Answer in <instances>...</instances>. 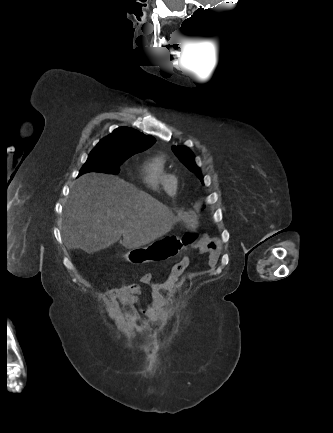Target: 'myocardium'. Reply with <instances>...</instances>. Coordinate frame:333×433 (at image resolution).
<instances>
[{
  "instance_id": "obj_1",
  "label": "myocardium",
  "mask_w": 333,
  "mask_h": 433,
  "mask_svg": "<svg viewBox=\"0 0 333 433\" xmlns=\"http://www.w3.org/2000/svg\"><path fill=\"white\" fill-rule=\"evenodd\" d=\"M164 183H165L166 191H167L169 194H173L174 189H175V187H176L177 184H178V179H177V177H176L174 174H171V173H170V174L165 178Z\"/></svg>"
}]
</instances>
